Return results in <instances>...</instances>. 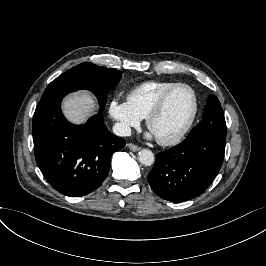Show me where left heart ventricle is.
I'll use <instances>...</instances> for the list:
<instances>
[{"instance_id":"left-heart-ventricle-1","label":"left heart ventricle","mask_w":266,"mask_h":266,"mask_svg":"<svg viewBox=\"0 0 266 266\" xmlns=\"http://www.w3.org/2000/svg\"><path fill=\"white\" fill-rule=\"evenodd\" d=\"M194 106V97L188 88L176 89L169 96L163 110L151 121L150 129L157 138L176 136L189 122Z\"/></svg>"}]
</instances>
